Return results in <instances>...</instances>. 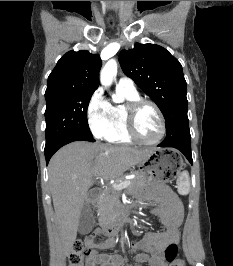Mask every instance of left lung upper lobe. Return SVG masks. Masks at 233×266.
<instances>
[{
  "instance_id": "1",
  "label": "left lung upper lobe",
  "mask_w": 233,
  "mask_h": 266,
  "mask_svg": "<svg viewBox=\"0 0 233 266\" xmlns=\"http://www.w3.org/2000/svg\"><path fill=\"white\" fill-rule=\"evenodd\" d=\"M119 62L125 75L157 104L169 129L187 114L186 81L182 66L165 48L154 44H135L122 50Z\"/></svg>"
}]
</instances>
